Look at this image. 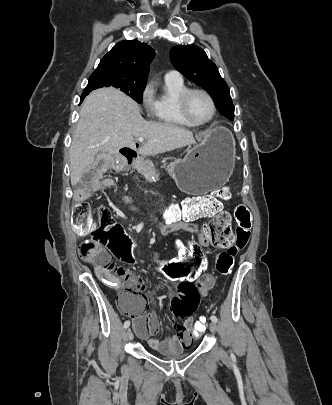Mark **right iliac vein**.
<instances>
[{"label":"right iliac vein","mask_w":332,"mask_h":405,"mask_svg":"<svg viewBox=\"0 0 332 405\" xmlns=\"http://www.w3.org/2000/svg\"><path fill=\"white\" fill-rule=\"evenodd\" d=\"M126 338H127V340H129V341H132L133 338H134L133 332H132V330H131L130 328L127 329V331H126Z\"/></svg>","instance_id":"right-iliac-vein-1"}]
</instances>
